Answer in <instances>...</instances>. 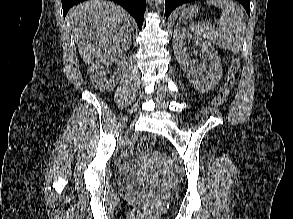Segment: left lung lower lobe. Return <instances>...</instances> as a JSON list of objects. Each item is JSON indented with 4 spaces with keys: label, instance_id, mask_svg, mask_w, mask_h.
Segmentation results:
<instances>
[{
    "label": "left lung lower lobe",
    "instance_id": "1",
    "mask_svg": "<svg viewBox=\"0 0 293 219\" xmlns=\"http://www.w3.org/2000/svg\"><path fill=\"white\" fill-rule=\"evenodd\" d=\"M195 0H165V15L168 17L170 13L179 5L184 3L192 2ZM245 8L248 15H250V0H237Z\"/></svg>",
    "mask_w": 293,
    "mask_h": 219
}]
</instances>
